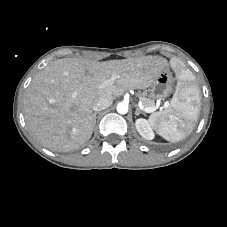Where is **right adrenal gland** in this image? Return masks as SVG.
<instances>
[{
    "label": "right adrenal gland",
    "instance_id": "1",
    "mask_svg": "<svg viewBox=\"0 0 227 227\" xmlns=\"http://www.w3.org/2000/svg\"><path fill=\"white\" fill-rule=\"evenodd\" d=\"M98 113H99V112H95V113H94L95 123H96V116H97Z\"/></svg>",
    "mask_w": 227,
    "mask_h": 227
}]
</instances>
